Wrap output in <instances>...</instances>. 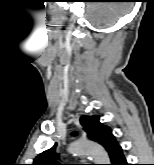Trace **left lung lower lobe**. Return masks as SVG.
Listing matches in <instances>:
<instances>
[{
    "label": "left lung lower lobe",
    "instance_id": "left-lung-lower-lobe-1",
    "mask_svg": "<svg viewBox=\"0 0 154 165\" xmlns=\"http://www.w3.org/2000/svg\"><path fill=\"white\" fill-rule=\"evenodd\" d=\"M111 165H128L120 147L112 159Z\"/></svg>",
    "mask_w": 154,
    "mask_h": 165
}]
</instances>
